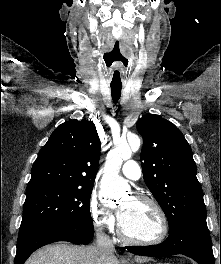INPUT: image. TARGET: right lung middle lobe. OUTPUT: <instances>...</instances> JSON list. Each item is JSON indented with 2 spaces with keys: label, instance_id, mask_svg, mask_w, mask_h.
Listing matches in <instances>:
<instances>
[{
  "label": "right lung middle lobe",
  "instance_id": "right-lung-middle-lobe-1",
  "mask_svg": "<svg viewBox=\"0 0 221 264\" xmlns=\"http://www.w3.org/2000/svg\"><path fill=\"white\" fill-rule=\"evenodd\" d=\"M92 189L46 185L26 190L20 231L32 227L93 226Z\"/></svg>",
  "mask_w": 221,
  "mask_h": 264
}]
</instances>
